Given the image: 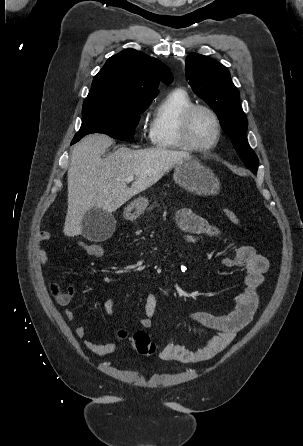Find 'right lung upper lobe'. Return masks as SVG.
Returning <instances> with one entry per match:
<instances>
[{
	"instance_id": "obj_1",
	"label": "right lung upper lobe",
	"mask_w": 303,
	"mask_h": 446,
	"mask_svg": "<svg viewBox=\"0 0 303 446\" xmlns=\"http://www.w3.org/2000/svg\"><path fill=\"white\" fill-rule=\"evenodd\" d=\"M173 80L169 69L156 58L134 49L110 57L94 77L83 107L93 105L149 106L158 84Z\"/></svg>"
}]
</instances>
